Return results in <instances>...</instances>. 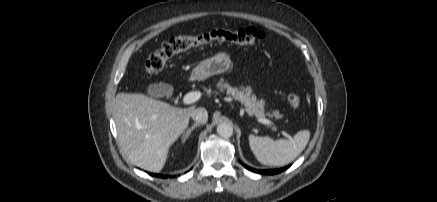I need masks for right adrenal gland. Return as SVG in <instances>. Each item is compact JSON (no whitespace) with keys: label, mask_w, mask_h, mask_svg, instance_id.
<instances>
[{"label":"right adrenal gland","mask_w":437,"mask_h":202,"mask_svg":"<svg viewBox=\"0 0 437 202\" xmlns=\"http://www.w3.org/2000/svg\"><path fill=\"white\" fill-rule=\"evenodd\" d=\"M200 125H201V124H199V123H195V124L192 125L191 128L187 129L185 135L183 136L182 142L184 143V142L188 139V137L190 136L191 132H192L196 127H199Z\"/></svg>","instance_id":"2a0ac1e0"}]
</instances>
